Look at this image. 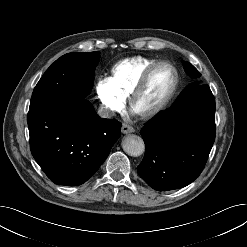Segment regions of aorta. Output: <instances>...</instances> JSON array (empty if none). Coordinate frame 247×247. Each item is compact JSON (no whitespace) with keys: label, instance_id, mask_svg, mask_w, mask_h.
Masks as SVG:
<instances>
[{"label":"aorta","instance_id":"1","mask_svg":"<svg viewBox=\"0 0 247 247\" xmlns=\"http://www.w3.org/2000/svg\"><path fill=\"white\" fill-rule=\"evenodd\" d=\"M123 150L130 156H140L145 151V144L141 137L129 135L122 140Z\"/></svg>","mask_w":247,"mask_h":247}]
</instances>
